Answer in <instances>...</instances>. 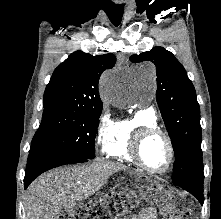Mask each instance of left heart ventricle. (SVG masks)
<instances>
[{
    "label": "left heart ventricle",
    "mask_w": 221,
    "mask_h": 219,
    "mask_svg": "<svg viewBox=\"0 0 221 219\" xmlns=\"http://www.w3.org/2000/svg\"><path fill=\"white\" fill-rule=\"evenodd\" d=\"M144 162L152 169L163 170L169 159V151L161 136H153L145 141L141 150Z\"/></svg>",
    "instance_id": "b2bd125f"
}]
</instances>
